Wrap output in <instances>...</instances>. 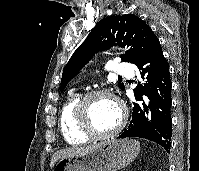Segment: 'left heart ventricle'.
I'll return each mask as SVG.
<instances>
[{
  "mask_svg": "<svg viewBox=\"0 0 199 171\" xmlns=\"http://www.w3.org/2000/svg\"><path fill=\"white\" fill-rule=\"evenodd\" d=\"M90 115L94 128L99 132H106L118 124L120 109L112 99L99 97L91 102Z\"/></svg>",
  "mask_w": 199,
  "mask_h": 171,
  "instance_id": "b2bd125f",
  "label": "left heart ventricle"
}]
</instances>
